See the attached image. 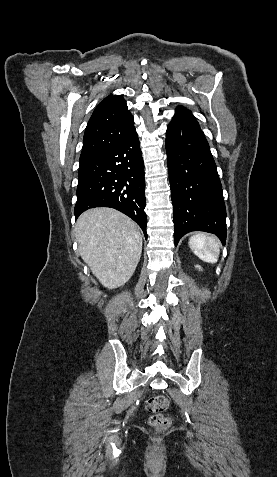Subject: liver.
<instances>
[{
    "label": "liver",
    "instance_id": "obj_1",
    "mask_svg": "<svg viewBox=\"0 0 277 477\" xmlns=\"http://www.w3.org/2000/svg\"><path fill=\"white\" fill-rule=\"evenodd\" d=\"M79 253L108 289L124 285L133 275L142 252L138 225L112 208L87 210L75 225Z\"/></svg>",
    "mask_w": 277,
    "mask_h": 477
}]
</instances>
